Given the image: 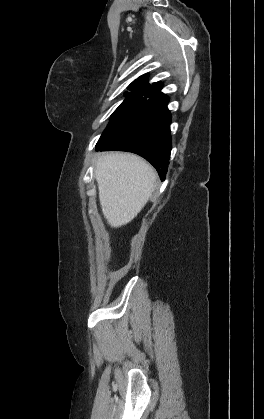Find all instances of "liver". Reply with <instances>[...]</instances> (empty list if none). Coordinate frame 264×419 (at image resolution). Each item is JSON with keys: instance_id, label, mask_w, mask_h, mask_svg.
<instances>
[{"instance_id": "1", "label": "liver", "mask_w": 264, "mask_h": 419, "mask_svg": "<svg viewBox=\"0 0 264 419\" xmlns=\"http://www.w3.org/2000/svg\"><path fill=\"white\" fill-rule=\"evenodd\" d=\"M102 213L111 227L132 221L155 188L156 172L143 158L120 152L98 155L95 164Z\"/></svg>"}]
</instances>
